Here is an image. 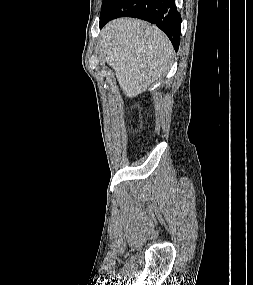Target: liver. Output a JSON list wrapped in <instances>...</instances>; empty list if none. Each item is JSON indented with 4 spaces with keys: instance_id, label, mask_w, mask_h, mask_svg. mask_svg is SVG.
<instances>
[{
    "instance_id": "1",
    "label": "liver",
    "mask_w": 253,
    "mask_h": 285,
    "mask_svg": "<svg viewBox=\"0 0 253 285\" xmlns=\"http://www.w3.org/2000/svg\"><path fill=\"white\" fill-rule=\"evenodd\" d=\"M102 50L107 63L129 97H136L166 73L173 48L155 25L132 18L111 21L102 31Z\"/></svg>"
}]
</instances>
